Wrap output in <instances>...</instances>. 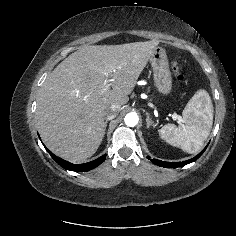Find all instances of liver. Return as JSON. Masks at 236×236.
I'll return each mask as SVG.
<instances>
[{"mask_svg":"<svg viewBox=\"0 0 236 236\" xmlns=\"http://www.w3.org/2000/svg\"><path fill=\"white\" fill-rule=\"evenodd\" d=\"M158 44L85 45L64 59L47 77L37 101L36 121L45 145L73 163L91 157L104 136L105 110L111 105L121 109L129 101ZM107 80L112 90L102 93Z\"/></svg>","mask_w":236,"mask_h":236,"instance_id":"liver-1","label":"liver"}]
</instances>
